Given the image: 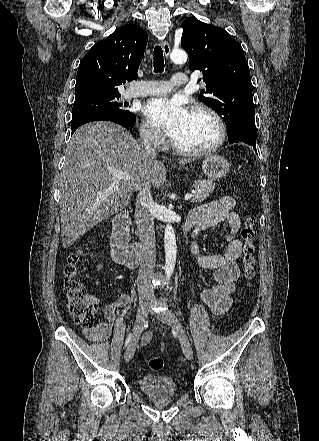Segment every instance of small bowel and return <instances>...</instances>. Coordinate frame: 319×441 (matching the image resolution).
<instances>
[{"mask_svg": "<svg viewBox=\"0 0 319 441\" xmlns=\"http://www.w3.org/2000/svg\"><path fill=\"white\" fill-rule=\"evenodd\" d=\"M235 199L232 196H224L214 201L205 203L194 208L188 215L185 225L192 229L191 253L195 257L199 266L206 270L213 271L215 284L201 293V300L210 307L214 315H222L228 311L232 305V294L235 289V281L240 275L237 259L241 255L242 243L237 237L241 228V221L238 214L234 211ZM226 223L229 232L225 236L226 246L221 254L205 255L200 251L197 236L204 230ZM92 301L96 306L101 305L98 298ZM133 305V297L124 294L106 303L103 310V319L91 328H84L83 332L87 339L92 342H104L114 333L117 324L116 311L124 308L127 311L125 321H127ZM151 340L149 332L142 336L141 342L146 345Z\"/></svg>", "mask_w": 319, "mask_h": 441, "instance_id": "obj_1", "label": "small bowel"}]
</instances>
